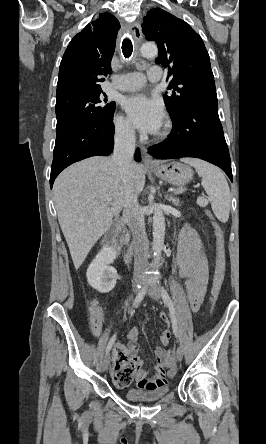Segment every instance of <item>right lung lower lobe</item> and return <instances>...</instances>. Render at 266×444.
Listing matches in <instances>:
<instances>
[{"label":"right lung lower lobe","mask_w":266,"mask_h":444,"mask_svg":"<svg viewBox=\"0 0 266 444\" xmlns=\"http://www.w3.org/2000/svg\"><path fill=\"white\" fill-rule=\"evenodd\" d=\"M114 132L111 120L74 130L56 141L50 175L51 188L59 173L72 163L91 156L110 155L113 151ZM135 160L140 161L139 152L135 154Z\"/></svg>","instance_id":"1"}]
</instances>
